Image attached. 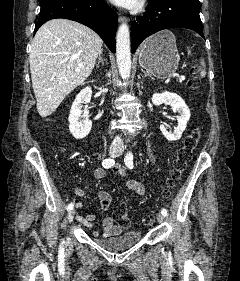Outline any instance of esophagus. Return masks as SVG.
Listing matches in <instances>:
<instances>
[{
  "label": "esophagus",
  "mask_w": 240,
  "mask_h": 281,
  "mask_svg": "<svg viewBox=\"0 0 240 281\" xmlns=\"http://www.w3.org/2000/svg\"><path fill=\"white\" fill-rule=\"evenodd\" d=\"M119 21H120V22H125V21H127V19H126V17L120 15V16H119Z\"/></svg>",
  "instance_id": "obj_1"
}]
</instances>
